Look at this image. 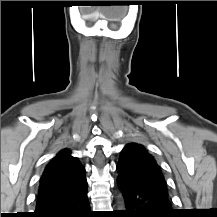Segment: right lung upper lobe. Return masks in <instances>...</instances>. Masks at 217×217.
Segmentation results:
<instances>
[{"label":"right lung upper lobe","instance_id":"obj_1","mask_svg":"<svg viewBox=\"0 0 217 217\" xmlns=\"http://www.w3.org/2000/svg\"><path fill=\"white\" fill-rule=\"evenodd\" d=\"M86 190L84 167L75 157L71 156L69 150L64 149L46 166L43 172L36 208L78 195Z\"/></svg>","mask_w":217,"mask_h":217}]
</instances>
